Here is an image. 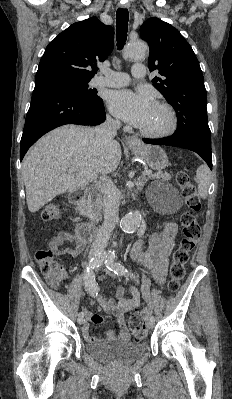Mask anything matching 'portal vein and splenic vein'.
Instances as JSON below:
<instances>
[{"label":"portal vein and splenic vein","instance_id":"portal-vein-and-splenic-vein-1","mask_svg":"<svg viewBox=\"0 0 232 399\" xmlns=\"http://www.w3.org/2000/svg\"><path fill=\"white\" fill-rule=\"evenodd\" d=\"M143 176L144 174H152L151 170H144V172H142Z\"/></svg>","mask_w":232,"mask_h":399}]
</instances>
